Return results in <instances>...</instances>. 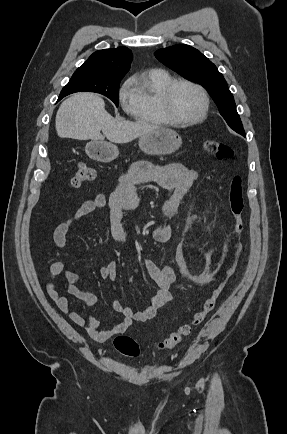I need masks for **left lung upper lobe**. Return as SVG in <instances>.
Segmentation results:
<instances>
[{
	"instance_id": "1",
	"label": "left lung upper lobe",
	"mask_w": 287,
	"mask_h": 434,
	"mask_svg": "<svg viewBox=\"0 0 287 434\" xmlns=\"http://www.w3.org/2000/svg\"><path fill=\"white\" fill-rule=\"evenodd\" d=\"M154 55L160 62L184 78L195 81L206 88L227 124L239 134H245L227 82L206 56L186 44L159 49Z\"/></svg>"
}]
</instances>
